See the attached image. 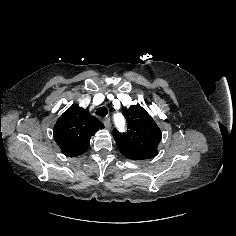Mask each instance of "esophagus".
I'll list each match as a JSON object with an SVG mask.
<instances>
[{
	"instance_id": "1",
	"label": "esophagus",
	"mask_w": 236,
	"mask_h": 236,
	"mask_svg": "<svg viewBox=\"0 0 236 236\" xmlns=\"http://www.w3.org/2000/svg\"><path fill=\"white\" fill-rule=\"evenodd\" d=\"M103 123H104V125H105V127H106L107 129H110V127H111V119H110L109 117H106V118L103 120Z\"/></svg>"
}]
</instances>
